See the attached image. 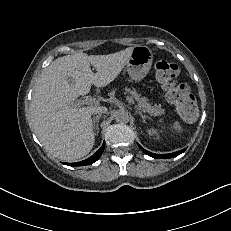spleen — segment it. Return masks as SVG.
Returning <instances> with one entry per match:
<instances>
[{"label": "spleen", "instance_id": "1", "mask_svg": "<svg viewBox=\"0 0 231 231\" xmlns=\"http://www.w3.org/2000/svg\"><path fill=\"white\" fill-rule=\"evenodd\" d=\"M174 127H175V129H177L178 131H181V130H182L181 125H180L179 122H177V121L174 123Z\"/></svg>", "mask_w": 231, "mask_h": 231}]
</instances>
